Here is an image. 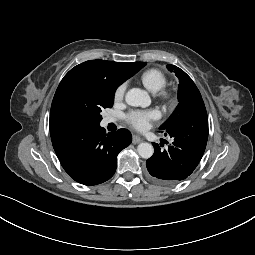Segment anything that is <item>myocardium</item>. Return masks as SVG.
Returning a JSON list of instances; mask_svg holds the SVG:
<instances>
[{"instance_id":"myocardium-1","label":"myocardium","mask_w":255,"mask_h":255,"mask_svg":"<svg viewBox=\"0 0 255 255\" xmlns=\"http://www.w3.org/2000/svg\"><path fill=\"white\" fill-rule=\"evenodd\" d=\"M157 96L164 104H167V105L171 104L174 100L173 92L166 88H163L159 92H157Z\"/></svg>"}]
</instances>
